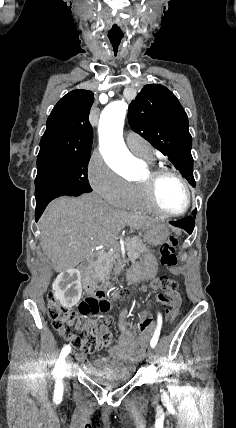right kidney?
<instances>
[{"mask_svg":"<svg viewBox=\"0 0 236 428\" xmlns=\"http://www.w3.org/2000/svg\"><path fill=\"white\" fill-rule=\"evenodd\" d=\"M72 288H74L75 292H67ZM53 290L56 300H60L62 306L69 308V306L78 304L82 292L79 270L63 269L62 275L54 279Z\"/></svg>","mask_w":236,"mask_h":428,"instance_id":"ca27d5eb","label":"right kidney"}]
</instances>
